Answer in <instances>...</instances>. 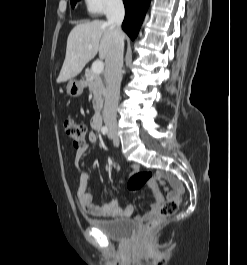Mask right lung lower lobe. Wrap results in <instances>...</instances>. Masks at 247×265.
Masks as SVG:
<instances>
[{
    "instance_id": "right-lung-lower-lobe-1",
    "label": "right lung lower lobe",
    "mask_w": 247,
    "mask_h": 265,
    "mask_svg": "<svg viewBox=\"0 0 247 265\" xmlns=\"http://www.w3.org/2000/svg\"><path fill=\"white\" fill-rule=\"evenodd\" d=\"M151 0H123L125 18L122 23L123 30L134 40L137 36L146 11Z\"/></svg>"
}]
</instances>
